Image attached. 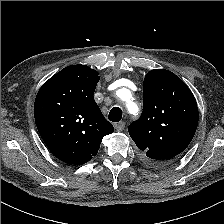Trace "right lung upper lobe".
<instances>
[{
    "instance_id": "1",
    "label": "right lung upper lobe",
    "mask_w": 224,
    "mask_h": 224,
    "mask_svg": "<svg viewBox=\"0 0 224 224\" xmlns=\"http://www.w3.org/2000/svg\"><path fill=\"white\" fill-rule=\"evenodd\" d=\"M99 78L98 72L86 65H72L38 91L36 126L51 153L65 163L88 162L97 154L103 137L114 131L93 97Z\"/></svg>"
}]
</instances>
